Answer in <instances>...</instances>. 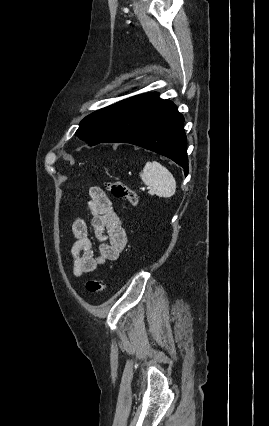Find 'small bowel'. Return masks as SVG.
<instances>
[{"label":"small bowel","mask_w":269,"mask_h":426,"mask_svg":"<svg viewBox=\"0 0 269 426\" xmlns=\"http://www.w3.org/2000/svg\"><path fill=\"white\" fill-rule=\"evenodd\" d=\"M88 193L91 227L100 241V246L99 253L95 255L86 223L80 218H75L71 223V231L75 239L71 256L76 278H82L94 272L107 262L116 261L127 244L123 220L114 209L106 192L100 187H91Z\"/></svg>","instance_id":"c3829d8e"}]
</instances>
